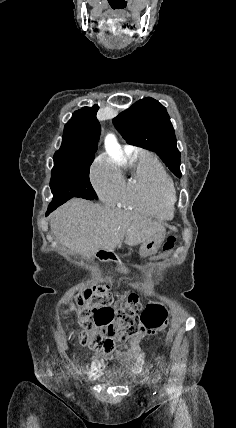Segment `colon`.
Masks as SVG:
<instances>
[{
    "instance_id": "colon-1",
    "label": "colon",
    "mask_w": 236,
    "mask_h": 428,
    "mask_svg": "<svg viewBox=\"0 0 236 428\" xmlns=\"http://www.w3.org/2000/svg\"><path fill=\"white\" fill-rule=\"evenodd\" d=\"M175 238L170 236L164 243V250L174 247ZM141 304L137 293H122L116 298L110 287L93 284L81 291L77 301L81 345L94 351L113 352L118 348L117 337L124 342L139 332H152L167 324V312L158 305L149 304L137 317ZM124 330L121 338L120 332Z\"/></svg>"
}]
</instances>
